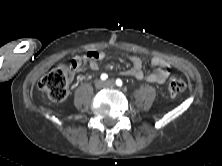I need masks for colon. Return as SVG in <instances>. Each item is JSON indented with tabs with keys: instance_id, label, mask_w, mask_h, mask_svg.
<instances>
[{
	"instance_id": "5ec220e1",
	"label": "colon",
	"mask_w": 222,
	"mask_h": 166,
	"mask_svg": "<svg viewBox=\"0 0 222 166\" xmlns=\"http://www.w3.org/2000/svg\"><path fill=\"white\" fill-rule=\"evenodd\" d=\"M70 79L71 69L67 65H57L39 80L38 86L53 103L60 104L67 97ZM185 88L186 84L180 77L173 75L169 78L168 91L171 95H178Z\"/></svg>"
}]
</instances>
